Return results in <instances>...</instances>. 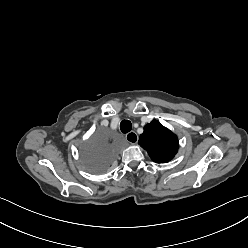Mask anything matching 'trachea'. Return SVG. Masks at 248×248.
<instances>
[{
    "instance_id": "obj_1",
    "label": "trachea",
    "mask_w": 248,
    "mask_h": 248,
    "mask_svg": "<svg viewBox=\"0 0 248 248\" xmlns=\"http://www.w3.org/2000/svg\"><path fill=\"white\" fill-rule=\"evenodd\" d=\"M132 129V124L129 120H123L121 123H120V130L123 132V133H128L129 131H131Z\"/></svg>"
}]
</instances>
